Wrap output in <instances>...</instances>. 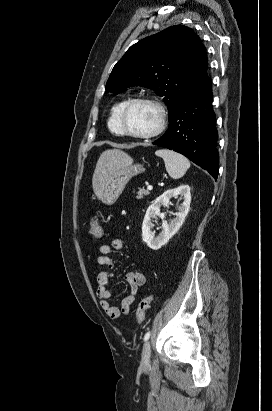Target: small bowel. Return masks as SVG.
<instances>
[{
    "instance_id": "c3829d8e",
    "label": "small bowel",
    "mask_w": 272,
    "mask_h": 411,
    "mask_svg": "<svg viewBox=\"0 0 272 411\" xmlns=\"http://www.w3.org/2000/svg\"><path fill=\"white\" fill-rule=\"evenodd\" d=\"M123 247L124 244L121 239H114L111 244L104 243L99 246V255L97 257L98 264L105 267V270L100 272L97 278V295L101 308L111 319L118 318L121 313L124 315L130 313L131 306L135 301L139 288L145 285L147 281V277L143 271L139 269L130 270L126 274V281L130 286V294L123 299L120 309L110 304L111 291L109 289V282L112 277L111 270L115 265L111 254L113 250H121Z\"/></svg>"
}]
</instances>
